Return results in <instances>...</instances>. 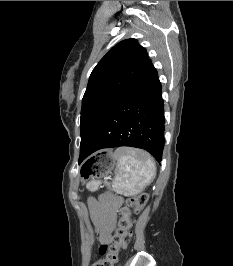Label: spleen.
<instances>
[{
  "label": "spleen",
  "mask_w": 233,
  "mask_h": 266,
  "mask_svg": "<svg viewBox=\"0 0 233 266\" xmlns=\"http://www.w3.org/2000/svg\"><path fill=\"white\" fill-rule=\"evenodd\" d=\"M117 161L115 182L112 190L119 194L132 196L140 193L152 182L156 175V165L151 157L139 150L118 148L113 154ZM100 182L87 184L90 191L98 189Z\"/></svg>",
  "instance_id": "spleen-1"
}]
</instances>
